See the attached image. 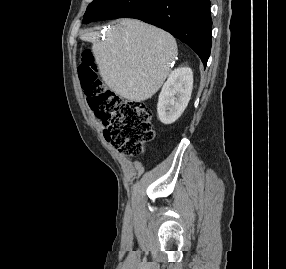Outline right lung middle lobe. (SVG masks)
I'll return each mask as SVG.
<instances>
[{"label": "right lung middle lobe", "instance_id": "1", "mask_svg": "<svg viewBox=\"0 0 286 269\" xmlns=\"http://www.w3.org/2000/svg\"><path fill=\"white\" fill-rule=\"evenodd\" d=\"M152 0H93L83 17L84 23L104 19L124 18Z\"/></svg>", "mask_w": 286, "mask_h": 269}]
</instances>
